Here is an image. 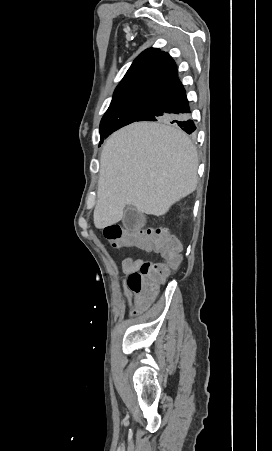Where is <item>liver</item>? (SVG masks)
I'll list each match as a JSON object with an SVG mask.
<instances>
[{"label": "liver", "mask_w": 272, "mask_h": 451, "mask_svg": "<svg viewBox=\"0 0 272 451\" xmlns=\"http://www.w3.org/2000/svg\"><path fill=\"white\" fill-rule=\"evenodd\" d=\"M198 154L170 124L135 122L106 140L100 158L95 227L116 224L126 206L163 216L198 184Z\"/></svg>", "instance_id": "6515ba94"}]
</instances>
